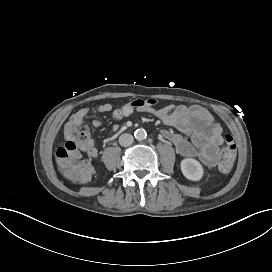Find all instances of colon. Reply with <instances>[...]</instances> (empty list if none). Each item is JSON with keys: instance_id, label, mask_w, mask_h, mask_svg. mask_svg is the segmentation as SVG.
Listing matches in <instances>:
<instances>
[{"instance_id": "1", "label": "colon", "mask_w": 272, "mask_h": 272, "mask_svg": "<svg viewBox=\"0 0 272 272\" xmlns=\"http://www.w3.org/2000/svg\"><path fill=\"white\" fill-rule=\"evenodd\" d=\"M153 103V100H131L125 103V110H131L138 107H143ZM89 109H80L70 119V124L66 126L67 139L63 145H60L56 149V158L61 161L58 165V170L61 174L67 175L72 178L73 182L77 185H82L86 182L87 176L91 172V166L86 161L79 162V156L77 154V147L84 150H90L95 145V140L89 135V129L86 125L80 124L87 113H91ZM110 117L112 120L117 121L120 119L121 114L119 111L114 110L111 112ZM76 137V138H75ZM225 146L217 154L220 155L218 160V169L220 172H229L233 165L236 156V145L233 142V137L230 134L224 136Z\"/></svg>"}]
</instances>
